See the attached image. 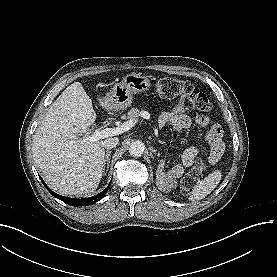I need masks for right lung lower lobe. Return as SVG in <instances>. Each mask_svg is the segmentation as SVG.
Masks as SVG:
<instances>
[{
  "label": "right lung lower lobe",
  "mask_w": 277,
  "mask_h": 277,
  "mask_svg": "<svg viewBox=\"0 0 277 277\" xmlns=\"http://www.w3.org/2000/svg\"><path fill=\"white\" fill-rule=\"evenodd\" d=\"M42 183L44 184V186L47 188V190L56 198L62 200L63 202L71 205V206H87V205H91L93 203H96L97 201L101 200L105 194L107 193L108 189L110 188V184L107 186V188L100 192L99 194L92 196V197H88V198H83V199H73V198H69V197H64L61 195L56 194L55 192H53L52 190H50L48 188V186L45 184V182L43 181V179L40 177Z\"/></svg>",
  "instance_id": "98d812e1"
}]
</instances>
